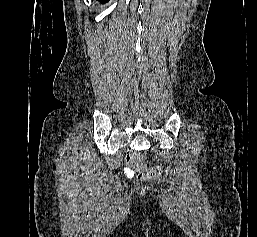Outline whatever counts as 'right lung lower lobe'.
Here are the masks:
<instances>
[{
  "label": "right lung lower lobe",
  "instance_id": "obj_1",
  "mask_svg": "<svg viewBox=\"0 0 257 237\" xmlns=\"http://www.w3.org/2000/svg\"><path fill=\"white\" fill-rule=\"evenodd\" d=\"M100 3L104 4L106 2H108L109 0H98Z\"/></svg>",
  "mask_w": 257,
  "mask_h": 237
}]
</instances>
